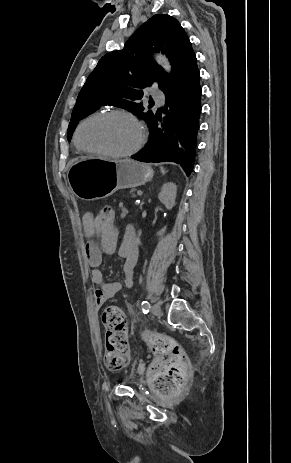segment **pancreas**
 I'll return each instance as SVG.
<instances>
[{"label":"pancreas","instance_id":"cf45deb5","mask_svg":"<svg viewBox=\"0 0 291 463\" xmlns=\"http://www.w3.org/2000/svg\"><path fill=\"white\" fill-rule=\"evenodd\" d=\"M126 196L136 198V189H131L129 192L126 193Z\"/></svg>","mask_w":291,"mask_h":463}]
</instances>
